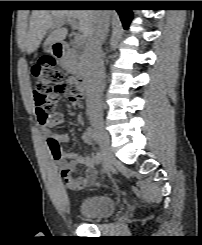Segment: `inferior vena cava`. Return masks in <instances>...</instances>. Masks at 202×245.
Here are the masks:
<instances>
[{"mask_svg":"<svg viewBox=\"0 0 202 245\" xmlns=\"http://www.w3.org/2000/svg\"><path fill=\"white\" fill-rule=\"evenodd\" d=\"M109 18L104 12H98L94 28L84 47V63L87 91V112L90 115L102 114V93L104 90L105 68L103 62L102 44L108 33Z\"/></svg>","mask_w":202,"mask_h":245,"instance_id":"obj_1","label":"inferior vena cava"}]
</instances>
